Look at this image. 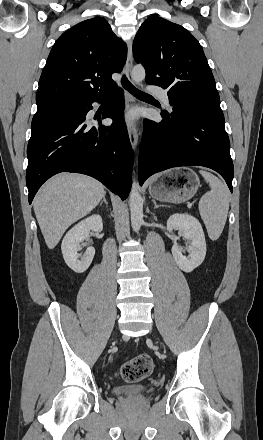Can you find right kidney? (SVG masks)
<instances>
[{"label":"right kidney","instance_id":"1","mask_svg":"<svg viewBox=\"0 0 263 440\" xmlns=\"http://www.w3.org/2000/svg\"><path fill=\"white\" fill-rule=\"evenodd\" d=\"M103 229L102 218L100 215H92L80 221L71 228L63 238L61 250L65 263L76 273H83L90 266L95 249L88 247L85 256L78 260V251L81 250L80 242L89 237L90 230L101 232Z\"/></svg>","mask_w":263,"mask_h":440}]
</instances>
